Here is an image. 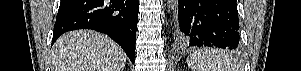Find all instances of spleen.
Returning <instances> with one entry per match:
<instances>
[{
    "mask_svg": "<svg viewBox=\"0 0 301 71\" xmlns=\"http://www.w3.org/2000/svg\"><path fill=\"white\" fill-rule=\"evenodd\" d=\"M187 64L193 71H238L240 67L231 54L213 49L192 52Z\"/></svg>",
    "mask_w": 301,
    "mask_h": 71,
    "instance_id": "spleen-1",
    "label": "spleen"
}]
</instances>
